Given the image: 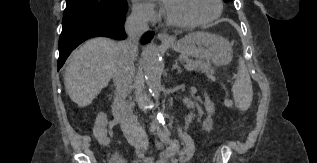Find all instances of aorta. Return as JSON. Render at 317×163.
Returning a JSON list of instances; mask_svg holds the SVG:
<instances>
[{"label":"aorta","instance_id":"1","mask_svg":"<svg viewBox=\"0 0 317 163\" xmlns=\"http://www.w3.org/2000/svg\"><path fill=\"white\" fill-rule=\"evenodd\" d=\"M143 70L149 91L158 99L161 92L162 59L154 43H149L143 51ZM157 119L158 125L164 123L161 114H158Z\"/></svg>","mask_w":317,"mask_h":163}]
</instances>
